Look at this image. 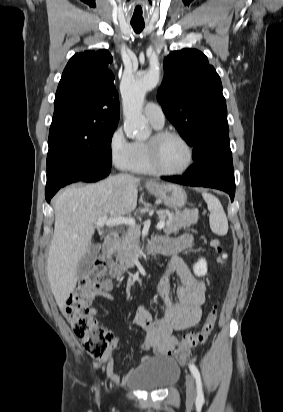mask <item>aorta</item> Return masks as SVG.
Segmentation results:
<instances>
[{
    "instance_id": "1",
    "label": "aorta",
    "mask_w": 283,
    "mask_h": 412,
    "mask_svg": "<svg viewBox=\"0 0 283 412\" xmlns=\"http://www.w3.org/2000/svg\"><path fill=\"white\" fill-rule=\"evenodd\" d=\"M159 83V73L129 76L122 80L121 95L124 115V131L128 137L146 138L150 132L142 115L145 94Z\"/></svg>"
}]
</instances>
